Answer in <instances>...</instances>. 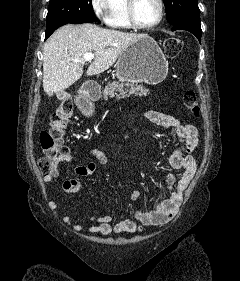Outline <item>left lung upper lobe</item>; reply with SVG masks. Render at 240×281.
I'll return each instance as SVG.
<instances>
[{"label":"left lung upper lobe","instance_id":"1","mask_svg":"<svg viewBox=\"0 0 240 281\" xmlns=\"http://www.w3.org/2000/svg\"><path fill=\"white\" fill-rule=\"evenodd\" d=\"M166 17L173 26L180 22L200 23V10L197 0H163Z\"/></svg>","mask_w":240,"mask_h":281}]
</instances>
